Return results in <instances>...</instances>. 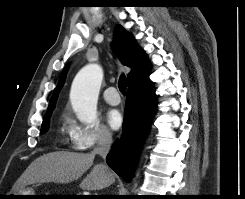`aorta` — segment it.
Masks as SVG:
<instances>
[{"instance_id":"1","label":"aorta","mask_w":245,"mask_h":199,"mask_svg":"<svg viewBox=\"0 0 245 199\" xmlns=\"http://www.w3.org/2000/svg\"><path fill=\"white\" fill-rule=\"evenodd\" d=\"M102 79V68L97 64H89L78 72L72 83L71 105L82 123L91 124L96 120Z\"/></svg>"}]
</instances>
